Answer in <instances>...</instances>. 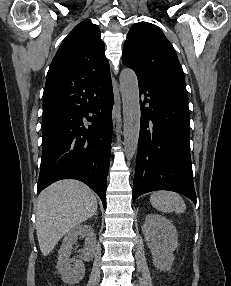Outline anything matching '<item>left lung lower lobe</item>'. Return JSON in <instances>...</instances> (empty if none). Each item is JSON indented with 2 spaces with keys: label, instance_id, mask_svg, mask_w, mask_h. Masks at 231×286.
Here are the masks:
<instances>
[{
  "label": "left lung lower lobe",
  "instance_id": "1",
  "mask_svg": "<svg viewBox=\"0 0 231 286\" xmlns=\"http://www.w3.org/2000/svg\"><path fill=\"white\" fill-rule=\"evenodd\" d=\"M138 83L144 98L140 101L133 202L150 191L170 190L196 203L189 151L188 94L144 81Z\"/></svg>",
  "mask_w": 231,
  "mask_h": 286
}]
</instances>
